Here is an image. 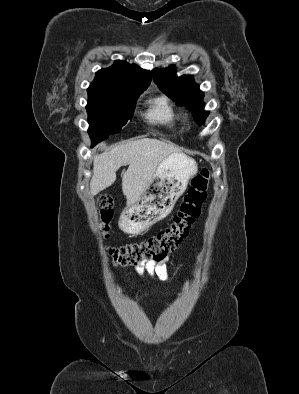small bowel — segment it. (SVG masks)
<instances>
[{
    "mask_svg": "<svg viewBox=\"0 0 299 394\" xmlns=\"http://www.w3.org/2000/svg\"><path fill=\"white\" fill-rule=\"evenodd\" d=\"M167 261L168 258L161 261H148L137 265L135 271L141 277L152 276L161 281H166L168 279Z\"/></svg>",
    "mask_w": 299,
    "mask_h": 394,
    "instance_id": "1",
    "label": "small bowel"
}]
</instances>
